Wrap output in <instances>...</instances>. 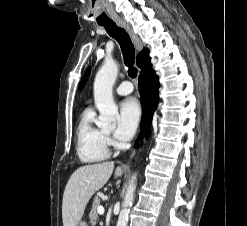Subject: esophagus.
Instances as JSON below:
<instances>
[{"label":"esophagus","mask_w":247,"mask_h":226,"mask_svg":"<svg viewBox=\"0 0 247 226\" xmlns=\"http://www.w3.org/2000/svg\"><path fill=\"white\" fill-rule=\"evenodd\" d=\"M116 23H117L120 27L124 28V29L127 31V33L129 34V36L131 37V40H132V42H133L135 48H136L138 51H140V50L142 49V44H141V42H140L138 36H137V35L134 33V31L132 30L131 26H130L126 21H124V20H122V19L116 20ZM133 155H134V151L132 152L130 158H132Z\"/></svg>","instance_id":"esophagus-1"}]
</instances>
